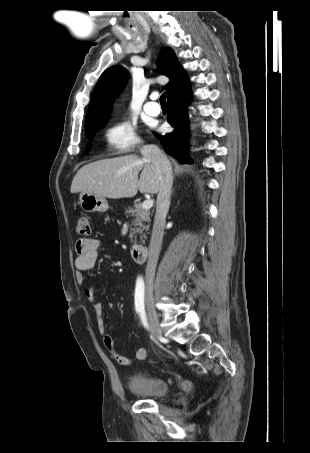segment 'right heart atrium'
Masks as SVG:
<instances>
[{
    "mask_svg": "<svg viewBox=\"0 0 310 453\" xmlns=\"http://www.w3.org/2000/svg\"><path fill=\"white\" fill-rule=\"evenodd\" d=\"M104 140L113 154L131 152L140 146L135 126L126 119L110 124L104 132Z\"/></svg>",
    "mask_w": 310,
    "mask_h": 453,
    "instance_id": "d8ad5b80",
    "label": "right heart atrium"
}]
</instances>
